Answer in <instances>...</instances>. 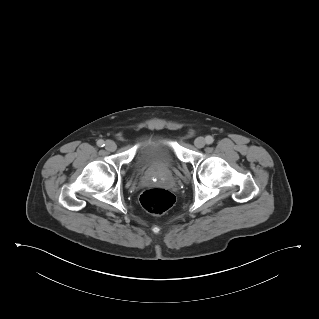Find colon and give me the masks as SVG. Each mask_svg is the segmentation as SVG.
Wrapping results in <instances>:
<instances>
[{"label": "colon", "mask_w": 319, "mask_h": 319, "mask_svg": "<svg viewBox=\"0 0 319 319\" xmlns=\"http://www.w3.org/2000/svg\"><path fill=\"white\" fill-rule=\"evenodd\" d=\"M142 207L152 215H162L175 203V196L163 188H149L140 195Z\"/></svg>", "instance_id": "5ec220e1"}]
</instances>
